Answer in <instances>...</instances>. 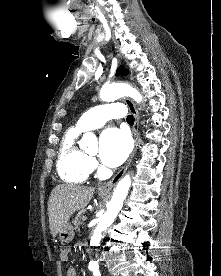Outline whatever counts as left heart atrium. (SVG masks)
<instances>
[{
  "instance_id": "obj_1",
  "label": "left heart atrium",
  "mask_w": 221,
  "mask_h": 276,
  "mask_svg": "<svg viewBox=\"0 0 221 276\" xmlns=\"http://www.w3.org/2000/svg\"><path fill=\"white\" fill-rule=\"evenodd\" d=\"M131 150V142L126 132L117 128L106 129L100 137V159L110 167L122 164Z\"/></svg>"
}]
</instances>
